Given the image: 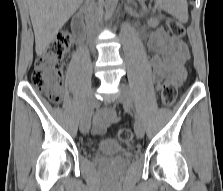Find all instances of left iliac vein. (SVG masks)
Masks as SVG:
<instances>
[{"label": "left iliac vein", "instance_id": "left-iliac-vein-1", "mask_svg": "<svg viewBox=\"0 0 223 191\" xmlns=\"http://www.w3.org/2000/svg\"><path fill=\"white\" fill-rule=\"evenodd\" d=\"M120 92L118 95L119 102L126 108L131 109L133 106L132 103V97L128 89L125 87L124 84H120ZM134 130L137 138H143L144 136V126L141 120L136 116L135 124H134Z\"/></svg>", "mask_w": 223, "mask_h": 191}]
</instances>
